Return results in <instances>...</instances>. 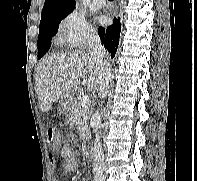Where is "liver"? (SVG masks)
Wrapping results in <instances>:
<instances>
[{
	"label": "liver",
	"mask_w": 197,
	"mask_h": 181,
	"mask_svg": "<svg viewBox=\"0 0 197 181\" xmlns=\"http://www.w3.org/2000/svg\"><path fill=\"white\" fill-rule=\"evenodd\" d=\"M75 75V80L71 76ZM84 83L92 94L99 92L100 76L90 53L81 50L58 52L44 57L36 70L35 91L40 109L48 112L52 104L76 91ZM61 81H57V79Z\"/></svg>",
	"instance_id": "obj_1"
}]
</instances>
